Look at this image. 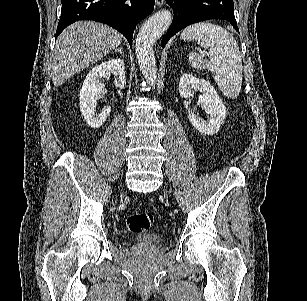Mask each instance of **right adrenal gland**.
I'll list each match as a JSON object with an SVG mask.
<instances>
[{
    "label": "right adrenal gland",
    "mask_w": 307,
    "mask_h": 301,
    "mask_svg": "<svg viewBox=\"0 0 307 301\" xmlns=\"http://www.w3.org/2000/svg\"><path fill=\"white\" fill-rule=\"evenodd\" d=\"M122 48H123V46H120V48H115L114 52H120V54H121Z\"/></svg>",
    "instance_id": "2a0ac1e0"
}]
</instances>
